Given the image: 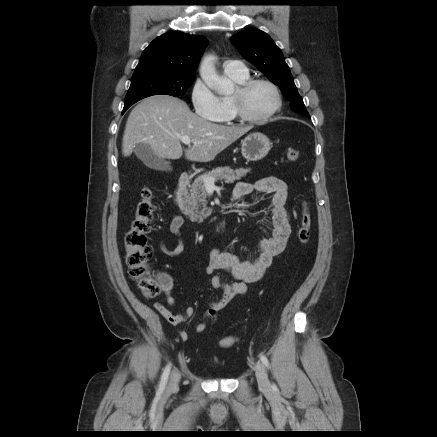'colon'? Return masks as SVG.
Returning a JSON list of instances; mask_svg holds the SVG:
<instances>
[{
  "label": "colon",
  "mask_w": 437,
  "mask_h": 437,
  "mask_svg": "<svg viewBox=\"0 0 437 437\" xmlns=\"http://www.w3.org/2000/svg\"><path fill=\"white\" fill-rule=\"evenodd\" d=\"M300 152L292 147L286 150V159L295 162ZM154 193L151 188L141 190L136 205L135 216L129 230L124 235L125 262L132 279H134L146 298H154L163 290L162 276L155 274L150 267L152 249L147 243V234L151 230V222L155 211ZM312 231V219L308 208L304 205L298 230V238L302 244L309 242ZM235 336H226L220 341L223 348L235 344Z\"/></svg>",
  "instance_id": "1"
}]
</instances>
